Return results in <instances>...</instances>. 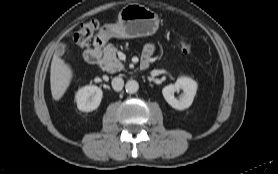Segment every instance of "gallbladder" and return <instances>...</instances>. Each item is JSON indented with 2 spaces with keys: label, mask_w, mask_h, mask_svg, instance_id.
Masks as SVG:
<instances>
[{
  "label": "gallbladder",
  "mask_w": 278,
  "mask_h": 174,
  "mask_svg": "<svg viewBox=\"0 0 278 174\" xmlns=\"http://www.w3.org/2000/svg\"><path fill=\"white\" fill-rule=\"evenodd\" d=\"M68 51V47L66 44L64 43H60L58 44L57 48H56V52L60 55H63L65 52Z\"/></svg>",
  "instance_id": "bac80fb5"
}]
</instances>
